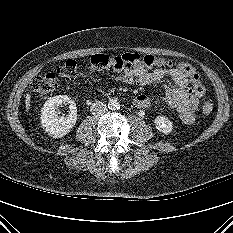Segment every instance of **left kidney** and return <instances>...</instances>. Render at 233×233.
Masks as SVG:
<instances>
[{"label":"left kidney","instance_id":"5707ae66","mask_svg":"<svg viewBox=\"0 0 233 233\" xmlns=\"http://www.w3.org/2000/svg\"><path fill=\"white\" fill-rule=\"evenodd\" d=\"M154 123L156 128L165 135L170 134L173 130L172 122L167 117L157 116Z\"/></svg>","mask_w":233,"mask_h":233}]
</instances>
